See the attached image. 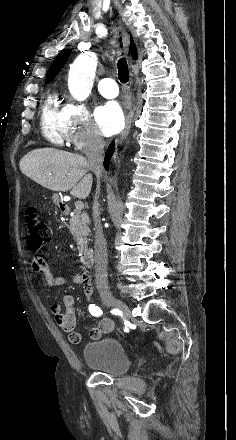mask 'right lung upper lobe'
Wrapping results in <instances>:
<instances>
[{"label":"right lung upper lobe","instance_id":"cb5924a9","mask_svg":"<svg viewBox=\"0 0 236 440\" xmlns=\"http://www.w3.org/2000/svg\"><path fill=\"white\" fill-rule=\"evenodd\" d=\"M131 48H132V56L134 59L137 58V51H136V47L135 44L133 43L132 39H131ZM71 53L70 49H66L63 50L61 53H59L56 58L54 59V61L52 62L47 76H46V84L51 82L54 77L58 74V72L61 70V68L64 66L65 62L67 61L69 55Z\"/></svg>","mask_w":236,"mask_h":440}]
</instances>
